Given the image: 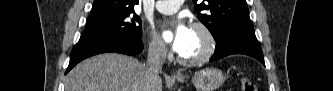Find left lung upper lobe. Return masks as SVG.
Masks as SVG:
<instances>
[{
    "label": "left lung upper lobe",
    "mask_w": 333,
    "mask_h": 91,
    "mask_svg": "<svg viewBox=\"0 0 333 91\" xmlns=\"http://www.w3.org/2000/svg\"><path fill=\"white\" fill-rule=\"evenodd\" d=\"M194 9L215 40L233 27L252 24L246 0H207L196 4Z\"/></svg>",
    "instance_id": "obj_1"
}]
</instances>
